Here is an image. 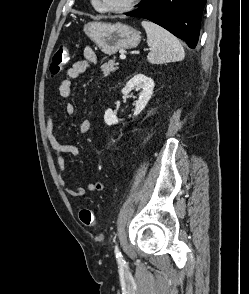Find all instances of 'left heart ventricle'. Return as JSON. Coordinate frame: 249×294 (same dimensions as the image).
<instances>
[{
	"label": "left heart ventricle",
	"mask_w": 249,
	"mask_h": 294,
	"mask_svg": "<svg viewBox=\"0 0 249 294\" xmlns=\"http://www.w3.org/2000/svg\"><path fill=\"white\" fill-rule=\"evenodd\" d=\"M128 0H99L100 4L108 7H119L126 3Z\"/></svg>",
	"instance_id": "b2bd125f"
}]
</instances>
